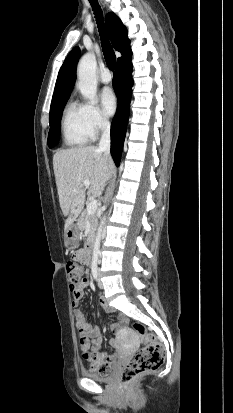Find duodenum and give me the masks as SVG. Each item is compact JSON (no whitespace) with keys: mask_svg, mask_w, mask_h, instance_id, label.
<instances>
[{"mask_svg":"<svg viewBox=\"0 0 233 413\" xmlns=\"http://www.w3.org/2000/svg\"><path fill=\"white\" fill-rule=\"evenodd\" d=\"M93 249V238H89L85 245V258H88Z\"/></svg>","mask_w":233,"mask_h":413,"instance_id":"1","label":"duodenum"}]
</instances>
